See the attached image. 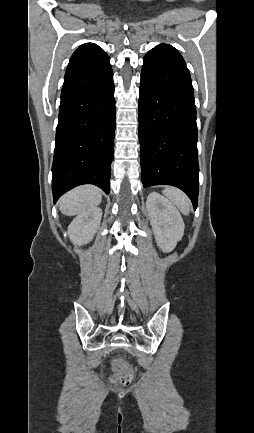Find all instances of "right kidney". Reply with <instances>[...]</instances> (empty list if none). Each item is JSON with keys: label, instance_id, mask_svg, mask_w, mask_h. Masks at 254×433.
Instances as JSON below:
<instances>
[{"label": "right kidney", "instance_id": "right-kidney-1", "mask_svg": "<svg viewBox=\"0 0 254 433\" xmlns=\"http://www.w3.org/2000/svg\"><path fill=\"white\" fill-rule=\"evenodd\" d=\"M102 217L100 208H92L79 214L69 225L68 235L74 245L89 243L95 235Z\"/></svg>", "mask_w": 254, "mask_h": 433}]
</instances>
